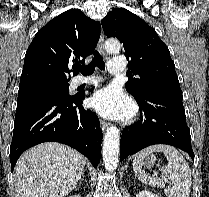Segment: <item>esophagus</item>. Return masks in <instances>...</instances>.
Masks as SVG:
<instances>
[{
  "instance_id": "esophagus-1",
  "label": "esophagus",
  "mask_w": 209,
  "mask_h": 197,
  "mask_svg": "<svg viewBox=\"0 0 209 197\" xmlns=\"http://www.w3.org/2000/svg\"><path fill=\"white\" fill-rule=\"evenodd\" d=\"M98 49L103 56L106 55L105 50H104V35H103L102 29H101V34H100V38H99V41H98ZM100 125H101V129H102L103 132L108 127V123L105 122L104 120L100 121Z\"/></svg>"
}]
</instances>
